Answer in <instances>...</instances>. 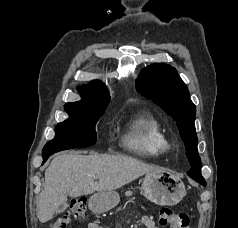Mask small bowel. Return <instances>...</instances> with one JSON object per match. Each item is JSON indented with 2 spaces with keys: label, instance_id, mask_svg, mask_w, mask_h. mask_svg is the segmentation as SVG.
Masks as SVG:
<instances>
[{
  "label": "small bowel",
  "instance_id": "1",
  "mask_svg": "<svg viewBox=\"0 0 238 228\" xmlns=\"http://www.w3.org/2000/svg\"><path fill=\"white\" fill-rule=\"evenodd\" d=\"M141 221L145 228H158L151 216L144 215L141 217ZM88 228H103L96 222H91L88 224Z\"/></svg>",
  "mask_w": 238,
  "mask_h": 228
}]
</instances>
